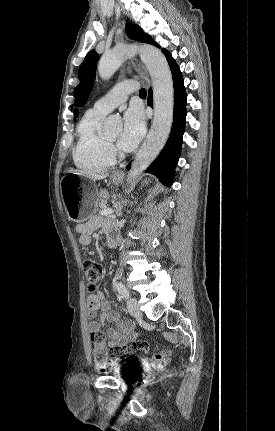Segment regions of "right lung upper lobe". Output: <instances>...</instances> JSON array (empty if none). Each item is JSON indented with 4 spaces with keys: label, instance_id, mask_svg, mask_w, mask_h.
I'll return each instance as SVG.
<instances>
[{
    "label": "right lung upper lobe",
    "instance_id": "1",
    "mask_svg": "<svg viewBox=\"0 0 275 431\" xmlns=\"http://www.w3.org/2000/svg\"><path fill=\"white\" fill-rule=\"evenodd\" d=\"M74 115L77 117L78 116V110L77 109H75L74 110Z\"/></svg>",
    "mask_w": 275,
    "mask_h": 431
}]
</instances>
